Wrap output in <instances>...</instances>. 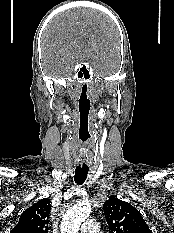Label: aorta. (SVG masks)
<instances>
[{
  "label": "aorta",
  "mask_w": 174,
  "mask_h": 233,
  "mask_svg": "<svg viewBox=\"0 0 174 233\" xmlns=\"http://www.w3.org/2000/svg\"><path fill=\"white\" fill-rule=\"evenodd\" d=\"M91 207L89 203L82 202L70 207L63 216L61 233H79L81 223L89 217Z\"/></svg>",
  "instance_id": "1"
}]
</instances>
